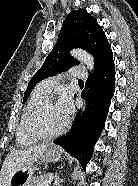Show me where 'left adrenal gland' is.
I'll return each instance as SVG.
<instances>
[{
    "label": "left adrenal gland",
    "instance_id": "1",
    "mask_svg": "<svg viewBox=\"0 0 138 186\" xmlns=\"http://www.w3.org/2000/svg\"><path fill=\"white\" fill-rule=\"evenodd\" d=\"M63 181H64V179H61V178L57 177L55 179L54 185L55 186H60V183H62Z\"/></svg>",
    "mask_w": 138,
    "mask_h": 186
}]
</instances>
